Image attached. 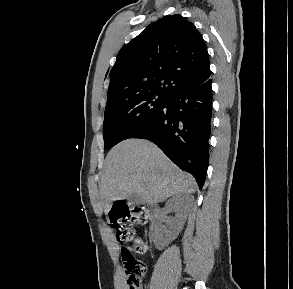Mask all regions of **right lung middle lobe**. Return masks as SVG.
<instances>
[{"mask_svg": "<svg viewBox=\"0 0 293 289\" xmlns=\"http://www.w3.org/2000/svg\"><path fill=\"white\" fill-rule=\"evenodd\" d=\"M168 97L145 93L106 105L103 123L104 149L125 140L153 114L162 108Z\"/></svg>", "mask_w": 293, "mask_h": 289, "instance_id": "1", "label": "right lung middle lobe"}]
</instances>
